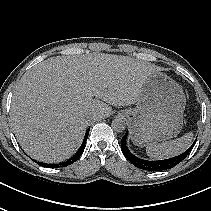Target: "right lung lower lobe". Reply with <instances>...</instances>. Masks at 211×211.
<instances>
[{
  "label": "right lung lower lobe",
  "instance_id": "right-lung-lower-lobe-1",
  "mask_svg": "<svg viewBox=\"0 0 211 211\" xmlns=\"http://www.w3.org/2000/svg\"><path fill=\"white\" fill-rule=\"evenodd\" d=\"M89 134V129L86 131L85 133V137L83 140V143L81 145V147L79 148V150L75 153V155L73 157H71L69 160L59 163V164H47V163H43V162H38V164L42 167H47V168H58V167H65L68 165H71L72 163H74L76 160L79 159V157L82 155L83 150L85 148V144H86V140Z\"/></svg>",
  "mask_w": 211,
  "mask_h": 211
}]
</instances>
